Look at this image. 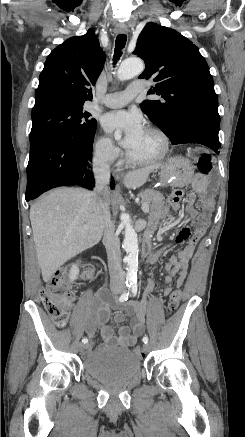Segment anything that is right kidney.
<instances>
[{"label": "right kidney", "instance_id": "1", "mask_svg": "<svg viewBox=\"0 0 245 437\" xmlns=\"http://www.w3.org/2000/svg\"><path fill=\"white\" fill-rule=\"evenodd\" d=\"M78 274H79V268L77 267V265L73 264L71 266V269H70L69 274H68L69 280L70 281L76 280L78 277Z\"/></svg>", "mask_w": 245, "mask_h": 437}]
</instances>
